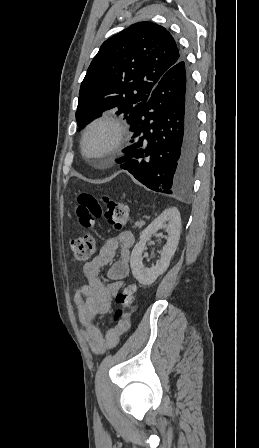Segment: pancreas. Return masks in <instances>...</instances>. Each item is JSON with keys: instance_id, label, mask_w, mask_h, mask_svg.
Instances as JSON below:
<instances>
[{"instance_id": "obj_1", "label": "pancreas", "mask_w": 259, "mask_h": 448, "mask_svg": "<svg viewBox=\"0 0 259 448\" xmlns=\"http://www.w3.org/2000/svg\"><path fill=\"white\" fill-rule=\"evenodd\" d=\"M142 228V226H144V222H135V226H133V228Z\"/></svg>"}]
</instances>
